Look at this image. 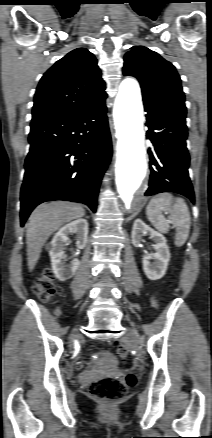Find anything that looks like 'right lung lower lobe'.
<instances>
[{"mask_svg":"<svg viewBox=\"0 0 212 438\" xmlns=\"http://www.w3.org/2000/svg\"><path fill=\"white\" fill-rule=\"evenodd\" d=\"M21 188V226L40 203L81 202L93 212L112 155L105 102L76 113L32 120Z\"/></svg>","mask_w":212,"mask_h":438,"instance_id":"1","label":"right lung lower lobe"}]
</instances>
